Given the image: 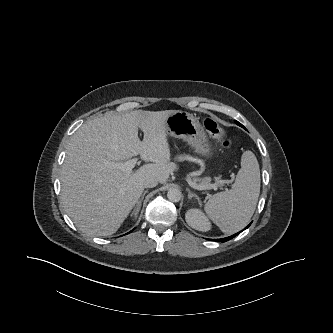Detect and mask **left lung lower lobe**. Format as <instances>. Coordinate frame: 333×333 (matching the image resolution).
<instances>
[{"instance_id": "left-lung-lower-lobe-1", "label": "left lung lower lobe", "mask_w": 333, "mask_h": 333, "mask_svg": "<svg viewBox=\"0 0 333 333\" xmlns=\"http://www.w3.org/2000/svg\"><path fill=\"white\" fill-rule=\"evenodd\" d=\"M250 225H251V223H250L248 226H246L245 229H247ZM239 233H241V231L238 232V233H236V234H234V235H232V236L225 237V238H221V239H217V241L226 242V241H228V240L234 238L235 236H237Z\"/></svg>"}]
</instances>
